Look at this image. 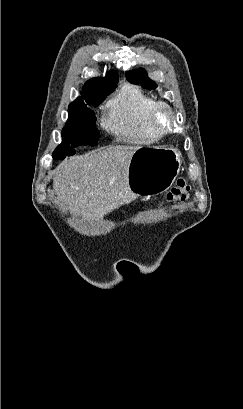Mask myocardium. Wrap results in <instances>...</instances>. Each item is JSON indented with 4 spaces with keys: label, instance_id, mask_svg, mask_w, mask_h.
Masks as SVG:
<instances>
[{
    "label": "myocardium",
    "instance_id": "f54148a6",
    "mask_svg": "<svg viewBox=\"0 0 243 409\" xmlns=\"http://www.w3.org/2000/svg\"><path fill=\"white\" fill-rule=\"evenodd\" d=\"M165 114L169 118V125L164 127L161 124V116ZM149 123L158 137L166 136L171 134L177 127L176 115L169 104L163 101H157L152 106L149 113Z\"/></svg>",
    "mask_w": 243,
    "mask_h": 409
}]
</instances>
